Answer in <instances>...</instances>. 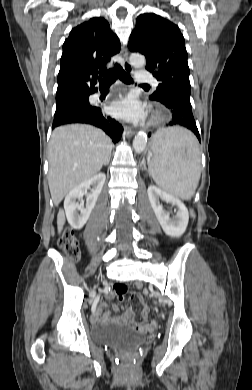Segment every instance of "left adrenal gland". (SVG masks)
I'll return each mask as SVG.
<instances>
[{
	"instance_id": "a2214340",
	"label": "left adrenal gland",
	"mask_w": 252,
	"mask_h": 390,
	"mask_svg": "<svg viewBox=\"0 0 252 390\" xmlns=\"http://www.w3.org/2000/svg\"><path fill=\"white\" fill-rule=\"evenodd\" d=\"M142 164H143V167L146 169V165H145L144 161L142 162Z\"/></svg>"
}]
</instances>
